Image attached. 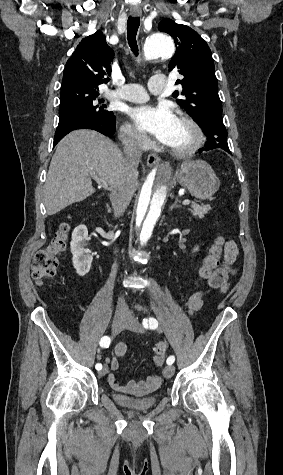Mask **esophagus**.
Listing matches in <instances>:
<instances>
[{"label":"esophagus","instance_id":"1","mask_svg":"<svg viewBox=\"0 0 283 475\" xmlns=\"http://www.w3.org/2000/svg\"><path fill=\"white\" fill-rule=\"evenodd\" d=\"M131 15L133 17H140L142 15V11L141 10L131 11ZM160 161H161L160 157L157 154L151 153L150 155H148L147 165H149V166L158 165L160 163Z\"/></svg>","mask_w":283,"mask_h":475}]
</instances>
